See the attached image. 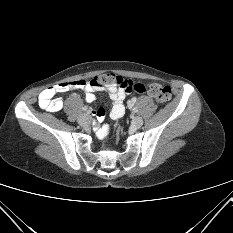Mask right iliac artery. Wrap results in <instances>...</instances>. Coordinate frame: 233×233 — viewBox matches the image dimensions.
<instances>
[{"instance_id":"right-iliac-artery-1","label":"right iliac artery","mask_w":233,"mask_h":233,"mask_svg":"<svg viewBox=\"0 0 233 233\" xmlns=\"http://www.w3.org/2000/svg\"><path fill=\"white\" fill-rule=\"evenodd\" d=\"M82 109H83V111H87L88 113H90V112H91V111H89V110H88V108H87L86 106H85V107H83Z\"/></svg>"}]
</instances>
